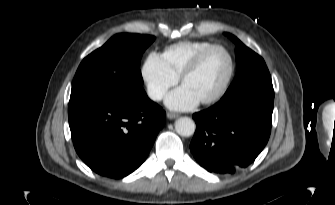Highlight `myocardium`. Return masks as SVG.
<instances>
[{"instance_id": "obj_1", "label": "myocardium", "mask_w": 335, "mask_h": 205, "mask_svg": "<svg viewBox=\"0 0 335 205\" xmlns=\"http://www.w3.org/2000/svg\"><path fill=\"white\" fill-rule=\"evenodd\" d=\"M216 49H220L222 51H224L229 59V63H230V68H229V72L227 74L226 79L224 80L223 84L221 85V87L218 89V91L213 94L212 96L200 100L199 102L203 105H210L213 104L217 101H219L228 91L231 82L233 80L234 74H235V69H236V63H235V59L233 54L231 53V51L225 47L224 45L221 44H212L208 47H206L205 49L201 50L194 58L193 60L187 65V67L183 70V72L180 75V81L183 84L184 81L193 73H195L199 67L201 66V64L203 63L205 57L213 50Z\"/></svg>"}]
</instances>
